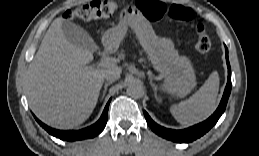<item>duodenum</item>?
Wrapping results in <instances>:
<instances>
[{
	"instance_id": "410a0bca",
	"label": "duodenum",
	"mask_w": 259,
	"mask_h": 156,
	"mask_svg": "<svg viewBox=\"0 0 259 156\" xmlns=\"http://www.w3.org/2000/svg\"><path fill=\"white\" fill-rule=\"evenodd\" d=\"M111 51H112V47L109 46V45H107V46L104 48V50H103V54H104V55H108V54L111 53Z\"/></svg>"
}]
</instances>
